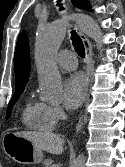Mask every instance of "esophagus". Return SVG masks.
<instances>
[{"mask_svg": "<svg viewBox=\"0 0 125 167\" xmlns=\"http://www.w3.org/2000/svg\"><path fill=\"white\" fill-rule=\"evenodd\" d=\"M77 32H78V34L83 42L84 48H85V53H86L85 70H86L87 78L89 79V77L91 76V69H92V57H93L92 46H91L89 39L83 33V31L81 30V28L79 26H77ZM83 117H84V115H82L79 118V121L76 125V133H78L83 127Z\"/></svg>", "mask_w": 125, "mask_h": 167, "instance_id": "esophagus-1", "label": "esophagus"}]
</instances>
